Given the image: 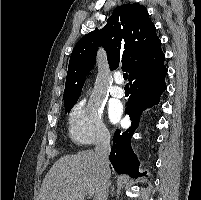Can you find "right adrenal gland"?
Segmentation results:
<instances>
[{"label":"right adrenal gland","instance_id":"2a0ac1e0","mask_svg":"<svg viewBox=\"0 0 201 200\" xmlns=\"http://www.w3.org/2000/svg\"><path fill=\"white\" fill-rule=\"evenodd\" d=\"M114 193H115V188H114V186H112V188H111V196L112 197H114Z\"/></svg>","mask_w":201,"mask_h":200}]
</instances>
